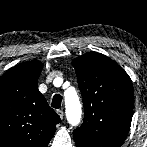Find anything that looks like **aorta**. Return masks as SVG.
Listing matches in <instances>:
<instances>
[{"instance_id":"1","label":"aorta","mask_w":147,"mask_h":147,"mask_svg":"<svg viewBox=\"0 0 147 147\" xmlns=\"http://www.w3.org/2000/svg\"><path fill=\"white\" fill-rule=\"evenodd\" d=\"M65 106H66V116L68 122L72 126H76L81 119V104L79 98L75 92L68 95L65 93Z\"/></svg>"}]
</instances>
